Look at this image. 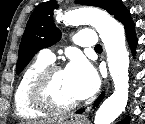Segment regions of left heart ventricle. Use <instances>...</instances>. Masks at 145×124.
I'll use <instances>...</instances> for the list:
<instances>
[{
  "instance_id": "b2bd125f",
  "label": "left heart ventricle",
  "mask_w": 145,
  "mask_h": 124,
  "mask_svg": "<svg viewBox=\"0 0 145 124\" xmlns=\"http://www.w3.org/2000/svg\"><path fill=\"white\" fill-rule=\"evenodd\" d=\"M50 88L54 99L60 104H70L78 101L66 78L65 71H59L53 75Z\"/></svg>"
}]
</instances>
